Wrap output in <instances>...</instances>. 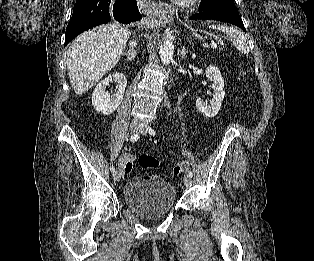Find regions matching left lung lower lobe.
Returning a JSON list of instances; mask_svg holds the SVG:
<instances>
[{
	"mask_svg": "<svg viewBox=\"0 0 314 261\" xmlns=\"http://www.w3.org/2000/svg\"><path fill=\"white\" fill-rule=\"evenodd\" d=\"M190 20H216L221 22H227L238 26L246 32L242 19L238 12H204L199 11L198 14L192 15Z\"/></svg>",
	"mask_w": 314,
	"mask_h": 261,
	"instance_id": "obj_1",
	"label": "left lung lower lobe"
}]
</instances>
